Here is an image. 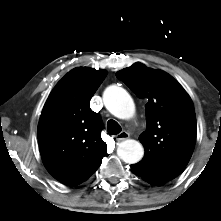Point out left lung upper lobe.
<instances>
[{
    "label": "left lung upper lobe",
    "instance_id": "1",
    "mask_svg": "<svg viewBox=\"0 0 221 221\" xmlns=\"http://www.w3.org/2000/svg\"><path fill=\"white\" fill-rule=\"evenodd\" d=\"M116 76L147 100V128L139 137L145 156L131 165L132 171L152 185H163L178 176L191 158L196 139L192 100L172 76L141 63Z\"/></svg>",
    "mask_w": 221,
    "mask_h": 221
}]
</instances>
